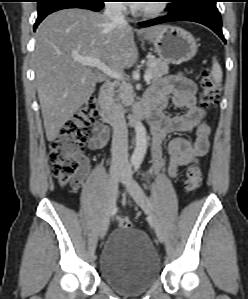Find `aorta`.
Here are the masks:
<instances>
[{
  "label": "aorta",
  "mask_w": 248,
  "mask_h": 299,
  "mask_svg": "<svg viewBox=\"0 0 248 299\" xmlns=\"http://www.w3.org/2000/svg\"><path fill=\"white\" fill-rule=\"evenodd\" d=\"M136 147L132 155V161L142 162L147 150V135L143 124L140 121L135 122Z\"/></svg>",
  "instance_id": "obj_1"
}]
</instances>
